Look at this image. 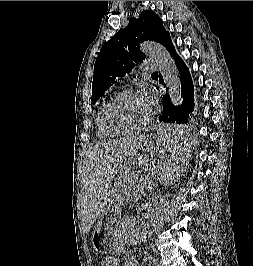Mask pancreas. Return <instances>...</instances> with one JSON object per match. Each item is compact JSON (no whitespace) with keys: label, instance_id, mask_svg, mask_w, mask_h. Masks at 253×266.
<instances>
[{"label":"pancreas","instance_id":"pancreas-1","mask_svg":"<svg viewBox=\"0 0 253 266\" xmlns=\"http://www.w3.org/2000/svg\"><path fill=\"white\" fill-rule=\"evenodd\" d=\"M146 181L147 184L152 183V179L150 178H139L138 173L126 175L123 178L121 200L136 202L141 199L145 195L144 184H146ZM118 236H120V231L118 232ZM119 240L121 241V237H119Z\"/></svg>","mask_w":253,"mask_h":266}]
</instances>
